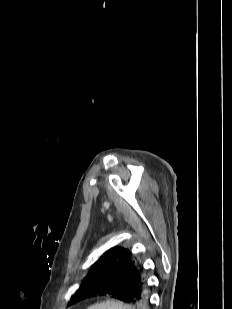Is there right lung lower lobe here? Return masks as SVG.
Wrapping results in <instances>:
<instances>
[{
	"mask_svg": "<svg viewBox=\"0 0 232 309\" xmlns=\"http://www.w3.org/2000/svg\"><path fill=\"white\" fill-rule=\"evenodd\" d=\"M117 272L130 274L132 278L117 280L115 283L107 285L90 286L86 291V299L95 296L111 295L116 299L132 304L135 309H148L149 291L146 281L142 276V269L131 262L120 265L117 268Z\"/></svg>",
	"mask_w": 232,
	"mask_h": 309,
	"instance_id": "98d812e1",
	"label": "right lung lower lobe"
}]
</instances>
